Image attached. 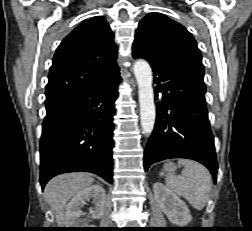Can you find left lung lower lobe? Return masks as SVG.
Returning <instances> with one entry per match:
<instances>
[{
  "mask_svg": "<svg viewBox=\"0 0 252 231\" xmlns=\"http://www.w3.org/2000/svg\"><path fill=\"white\" fill-rule=\"evenodd\" d=\"M156 124L144 152V169L169 158H188L205 165L216 182L217 160L208 120L203 76L182 67L153 65Z\"/></svg>",
  "mask_w": 252,
  "mask_h": 231,
  "instance_id": "left-lung-lower-lobe-1",
  "label": "left lung lower lobe"
}]
</instances>
